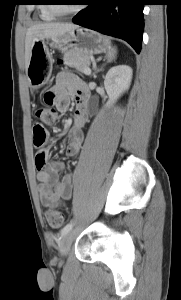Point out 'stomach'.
Masks as SVG:
<instances>
[{
	"label": "stomach",
	"instance_id": "0dacf381",
	"mask_svg": "<svg viewBox=\"0 0 181 300\" xmlns=\"http://www.w3.org/2000/svg\"><path fill=\"white\" fill-rule=\"evenodd\" d=\"M49 46L61 51L72 49L88 57L94 54H101L108 51L110 46L109 39L95 31L77 27L65 33L58 39L52 40H35L32 45L31 57L27 69V76L30 85L38 89L50 78L52 57Z\"/></svg>",
	"mask_w": 181,
	"mask_h": 300
}]
</instances>
